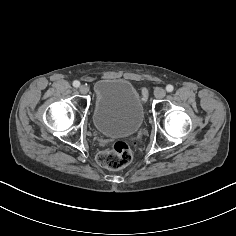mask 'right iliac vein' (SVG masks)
I'll return each mask as SVG.
<instances>
[{
  "instance_id": "1",
  "label": "right iliac vein",
  "mask_w": 236,
  "mask_h": 236,
  "mask_svg": "<svg viewBox=\"0 0 236 236\" xmlns=\"http://www.w3.org/2000/svg\"><path fill=\"white\" fill-rule=\"evenodd\" d=\"M79 91H80L81 94H87L88 91H89V89H88L87 86L81 85V86L79 87Z\"/></svg>"
}]
</instances>
